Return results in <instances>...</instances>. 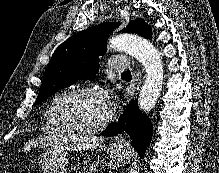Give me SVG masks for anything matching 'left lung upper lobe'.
I'll return each mask as SVG.
<instances>
[{"instance_id":"5c2ea615","label":"left lung upper lobe","mask_w":219,"mask_h":173,"mask_svg":"<svg viewBox=\"0 0 219 173\" xmlns=\"http://www.w3.org/2000/svg\"><path fill=\"white\" fill-rule=\"evenodd\" d=\"M119 23H104L80 31L60 44L46 67L34 106L77 80L92 79L99 69V55L107 48V38ZM123 32L151 38L152 32L143 19L137 18Z\"/></svg>"}]
</instances>
